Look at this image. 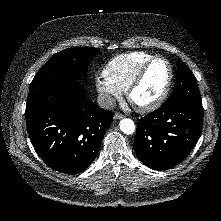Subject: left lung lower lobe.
<instances>
[{"label":"left lung lower lobe","mask_w":221,"mask_h":221,"mask_svg":"<svg viewBox=\"0 0 221 221\" xmlns=\"http://www.w3.org/2000/svg\"><path fill=\"white\" fill-rule=\"evenodd\" d=\"M202 104L164 103L138 120L133 148L139 160L154 170L173 168L189 154L201 135Z\"/></svg>","instance_id":"left-lung-lower-lobe-1"}]
</instances>
